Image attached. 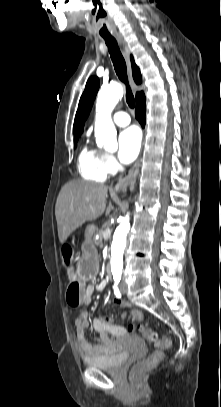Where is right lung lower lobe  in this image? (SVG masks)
Here are the masks:
<instances>
[{
    "mask_svg": "<svg viewBox=\"0 0 221 407\" xmlns=\"http://www.w3.org/2000/svg\"><path fill=\"white\" fill-rule=\"evenodd\" d=\"M146 100L145 97L136 102L135 116L140 122L142 127L145 126V113H146Z\"/></svg>",
    "mask_w": 221,
    "mask_h": 407,
    "instance_id": "obj_1",
    "label": "right lung lower lobe"
}]
</instances>
